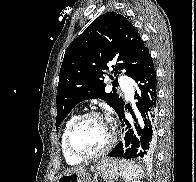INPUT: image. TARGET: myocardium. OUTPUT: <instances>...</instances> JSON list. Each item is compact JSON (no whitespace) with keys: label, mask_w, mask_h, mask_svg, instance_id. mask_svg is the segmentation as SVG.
I'll use <instances>...</instances> for the list:
<instances>
[{"label":"myocardium","mask_w":196,"mask_h":182,"mask_svg":"<svg viewBox=\"0 0 196 182\" xmlns=\"http://www.w3.org/2000/svg\"><path fill=\"white\" fill-rule=\"evenodd\" d=\"M99 118L102 119L108 127V139L106 144L104 145V147L102 149H100L99 151L92 153V154H84L80 151H78L72 143V136L74 134L75 129L77 128V126L84 121L87 118ZM115 141V133H114V129L112 127L111 122L106 118L105 115H103L102 113L98 112V111H87L79 116H77L72 123L70 124L67 133H66V138H65V143H66V147L67 150L76 158H79L81 160H91V159H95L98 157H101L103 155H105L107 152L110 151V149L113 147Z\"/></svg>","instance_id":"f54148a6"}]
</instances>
